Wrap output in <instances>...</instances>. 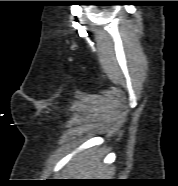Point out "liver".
<instances>
[{"label": "liver", "instance_id": "6515ba94", "mask_svg": "<svg viewBox=\"0 0 178 186\" xmlns=\"http://www.w3.org/2000/svg\"><path fill=\"white\" fill-rule=\"evenodd\" d=\"M102 154L96 150L85 151L73 160L71 176L77 179H103L111 176V171L101 164Z\"/></svg>", "mask_w": 178, "mask_h": 186}]
</instances>
